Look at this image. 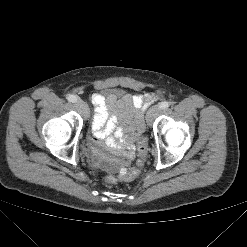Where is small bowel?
Wrapping results in <instances>:
<instances>
[{
	"label": "small bowel",
	"mask_w": 247,
	"mask_h": 247,
	"mask_svg": "<svg viewBox=\"0 0 247 247\" xmlns=\"http://www.w3.org/2000/svg\"><path fill=\"white\" fill-rule=\"evenodd\" d=\"M92 104L95 109L92 143L96 163L110 172L123 171L134 157V140L143 129L142 113L149 104V96L124 94L117 97L115 94L96 93L92 96ZM102 140L118 158H107L99 150Z\"/></svg>",
	"instance_id": "small-bowel-1"
}]
</instances>
